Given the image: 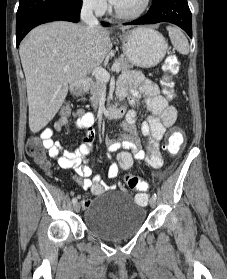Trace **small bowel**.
<instances>
[{
  "mask_svg": "<svg viewBox=\"0 0 227 279\" xmlns=\"http://www.w3.org/2000/svg\"><path fill=\"white\" fill-rule=\"evenodd\" d=\"M117 92L121 98H125L130 92L133 106L136 104V99L142 95L150 115L140 125L141 135L146 143V152L140 149L135 110L127 114L118 137L109 140L107 156L112 160V156L116 155V161H112L109 167V177L115 178L119 171L131 168L135 159L143 160L153 168L161 167L163 159L159 151L160 141L166 130L175 124L177 110L174 106L168 105L167 99L155 83L143 79L138 73L123 74ZM72 118H75L77 127L86 131L82 143L75 150H62L60 143L52 138L54 132L63 130L70 117H56L52 126L43 129L40 136L43 146L48 149L49 156L56 159L61 168L75 171V180L81 188H91L95 194H101L106 189V185L100 177H91L93 174L91 154L96 138L93 129L95 117L90 112L78 109L73 112ZM91 203V199L82 200V206L85 208L90 207Z\"/></svg>",
  "mask_w": 227,
  "mask_h": 279,
  "instance_id": "c3829d8e",
  "label": "small bowel"
}]
</instances>
